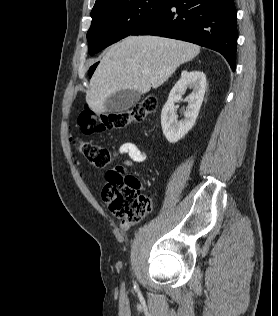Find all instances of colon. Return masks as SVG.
I'll use <instances>...</instances> for the list:
<instances>
[{"label":"colon","mask_w":278,"mask_h":316,"mask_svg":"<svg viewBox=\"0 0 278 316\" xmlns=\"http://www.w3.org/2000/svg\"><path fill=\"white\" fill-rule=\"evenodd\" d=\"M156 108L157 99L153 96H148L132 109L119 113L97 114L85 108L79 114L77 124L82 133L91 135L142 121ZM79 151L91 164L100 168L108 166L116 156L112 150L89 141H81ZM102 197L109 210L128 223L139 222L149 210V200L140 193L139 180L125 174L122 167H116L106 174Z\"/></svg>","instance_id":"1"}]
</instances>
